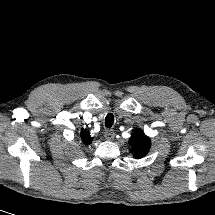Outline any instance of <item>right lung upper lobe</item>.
Masks as SVG:
<instances>
[{
	"instance_id": "cb5924a9",
	"label": "right lung upper lobe",
	"mask_w": 215,
	"mask_h": 215,
	"mask_svg": "<svg viewBox=\"0 0 215 215\" xmlns=\"http://www.w3.org/2000/svg\"><path fill=\"white\" fill-rule=\"evenodd\" d=\"M80 138L85 145L90 144L92 141V137H90L89 133L86 130L81 131Z\"/></svg>"
}]
</instances>
